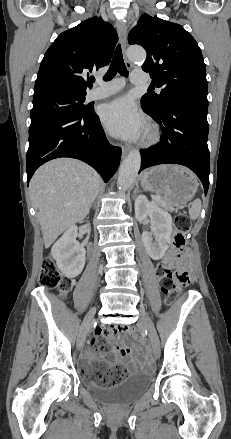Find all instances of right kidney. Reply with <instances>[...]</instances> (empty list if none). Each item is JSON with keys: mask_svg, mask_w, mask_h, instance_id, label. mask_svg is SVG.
Wrapping results in <instances>:
<instances>
[{"mask_svg": "<svg viewBox=\"0 0 231 439\" xmlns=\"http://www.w3.org/2000/svg\"><path fill=\"white\" fill-rule=\"evenodd\" d=\"M77 233V226H71L51 249V255L56 260L58 268L68 278L78 276L85 265L86 252L76 241Z\"/></svg>", "mask_w": 231, "mask_h": 439, "instance_id": "1", "label": "right kidney"}]
</instances>
